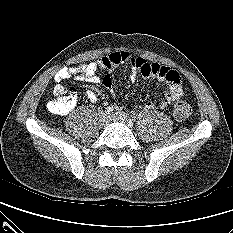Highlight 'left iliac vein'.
Listing matches in <instances>:
<instances>
[{
	"label": "left iliac vein",
	"instance_id": "1",
	"mask_svg": "<svg viewBox=\"0 0 233 233\" xmlns=\"http://www.w3.org/2000/svg\"><path fill=\"white\" fill-rule=\"evenodd\" d=\"M113 120L117 121V122H120V123H123V124H125L126 126H128L130 128L133 126V122L130 119L129 115L124 113V112L114 113L113 114Z\"/></svg>",
	"mask_w": 233,
	"mask_h": 233
}]
</instances>
